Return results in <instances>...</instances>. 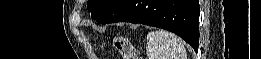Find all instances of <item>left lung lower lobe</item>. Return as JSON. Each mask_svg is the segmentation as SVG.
<instances>
[{"instance_id":"left-lung-lower-lobe-1","label":"left lung lower lobe","mask_w":261,"mask_h":59,"mask_svg":"<svg viewBox=\"0 0 261 59\" xmlns=\"http://www.w3.org/2000/svg\"><path fill=\"white\" fill-rule=\"evenodd\" d=\"M199 12L198 0H119L97 22H132L163 28L179 35L197 51Z\"/></svg>"}]
</instances>
